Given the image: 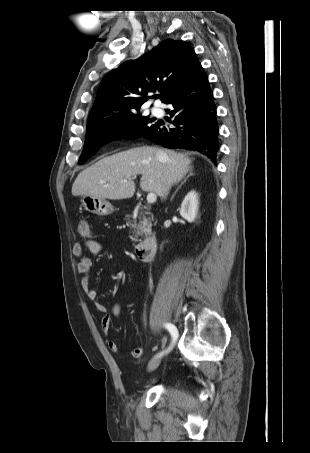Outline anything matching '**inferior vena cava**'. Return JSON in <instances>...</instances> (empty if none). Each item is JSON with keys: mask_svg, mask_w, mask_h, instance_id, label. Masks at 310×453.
I'll list each match as a JSON object with an SVG mask.
<instances>
[{"mask_svg": "<svg viewBox=\"0 0 310 453\" xmlns=\"http://www.w3.org/2000/svg\"><path fill=\"white\" fill-rule=\"evenodd\" d=\"M162 155H163V154H162L161 151H158V152H157V157H158L159 159L162 158ZM169 190H170V184H169V182H168V184H166V187H165V189H164V193H163L162 198H165V197L168 195Z\"/></svg>", "mask_w": 310, "mask_h": 453, "instance_id": "obj_1", "label": "inferior vena cava"}]
</instances>
